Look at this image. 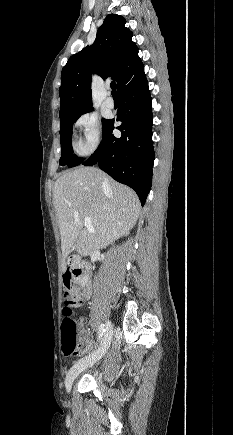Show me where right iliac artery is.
<instances>
[{
	"mask_svg": "<svg viewBox=\"0 0 233 435\" xmlns=\"http://www.w3.org/2000/svg\"><path fill=\"white\" fill-rule=\"evenodd\" d=\"M106 329H105V324H101L99 327V341L102 339L104 333H105Z\"/></svg>",
	"mask_w": 233,
	"mask_h": 435,
	"instance_id": "obj_1",
	"label": "right iliac artery"
}]
</instances>
